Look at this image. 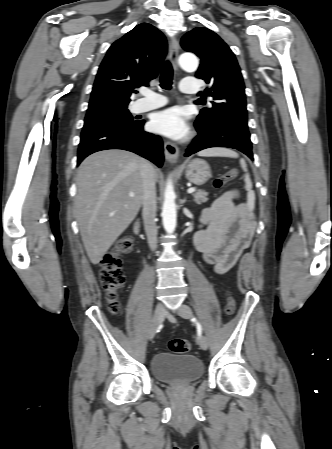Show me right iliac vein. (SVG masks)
Listing matches in <instances>:
<instances>
[{
	"label": "right iliac vein",
	"mask_w": 332,
	"mask_h": 449,
	"mask_svg": "<svg viewBox=\"0 0 332 449\" xmlns=\"http://www.w3.org/2000/svg\"><path fill=\"white\" fill-rule=\"evenodd\" d=\"M165 313H166V310H165V307L163 306V304L158 303L155 307L152 322H151L149 330H148V339L149 340L154 338L158 326L164 320Z\"/></svg>",
	"instance_id": "right-iliac-vein-1"
}]
</instances>
